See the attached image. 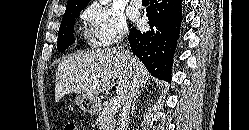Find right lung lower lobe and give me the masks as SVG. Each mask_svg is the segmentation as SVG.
Returning <instances> with one entry per match:
<instances>
[{"instance_id": "1", "label": "right lung lower lobe", "mask_w": 249, "mask_h": 130, "mask_svg": "<svg viewBox=\"0 0 249 130\" xmlns=\"http://www.w3.org/2000/svg\"><path fill=\"white\" fill-rule=\"evenodd\" d=\"M181 0H151L146 10L150 30L132 28V52L155 77L170 81L173 55L182 20Z\"/></svg>"}]
</instances>
